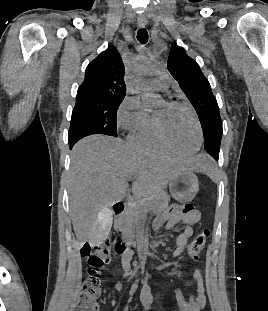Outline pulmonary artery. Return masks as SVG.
<instances>
[{
    "label": "pulmonary artery",
    "mask_w": 268,
    "mask_h": 311,
    "mask_svg": "<svg viewBox=\"0 0 268 311\" xmlns=\"http://www.w3.org/2000/svg\"><path fill=\"white\" fill-rule=\"evenodd\" d=\"M150 82L154 89L165 91L169 87L170 79L165 72H156Z\"/></svg>",
    "instance_id": "1"
}]
</instances>
